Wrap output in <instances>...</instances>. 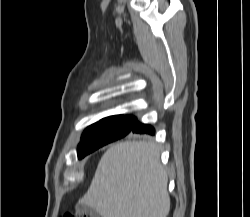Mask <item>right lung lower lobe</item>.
I'll return each mask as SVG.
<instances>
[{
    "label": "right lung lower lobe",
    "instance_id": "right-lung-lower-lobe-1",
    "mask_svg": "<svg viewBox=\"0 0 250 217\" xmlns=\"http://www.w3.org/2000/svg\"><path fill=\"white\" fill-rule=\"evenodd\" d=\"M131 133H139V134H155V130L152 126L150 125H145L140 122H136L134 127L131 130Z\"/></svg>",
    "mask_w": 250,
    "mask_h": 217
}]
</instances>
